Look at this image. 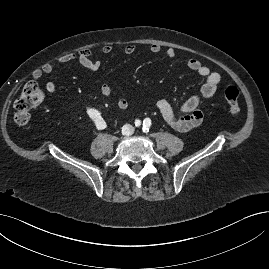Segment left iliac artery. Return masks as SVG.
I'll use <instances>...</instances> for the list:
<instances>
[{
    "mask_svg": "<svg viewBox=\"0 0 269 269\" xmlns=\"http://www.w3.org/2000/svg\"><path fill=\"white\" fill-rule=\"evenodd\" d=\"M150 126H151V120L149 118L144 119L142 128L143 132H148Z\"/></svg>",
    "mask_w": 269,
    "mask_h": 269,
    "instance_id": "1",
    "label": "left iliac artery"
}]
</instances>
